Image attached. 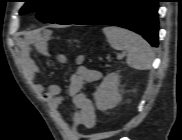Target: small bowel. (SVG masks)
Returning a JSON list of instances; mask_svg holds the SVG:
<instances>
[{"label": "small bowel", "instance_id": "small-bowel-1", "mask_svg": "<svg viewBox=\"0 0 182 140\" xmlns=\"http://www.w3.org/2000/svg\"><path fill=\"white\" fill-rule=\"evenodd\" d=\"M35 49L40 53H44V41L38 39L35 44ZM30 51L31 48L24 45L21 53V61L25 68L26 75L50 110L54 114H57L63 102V98L60 95V88L55 84L44 85L38 82L40 70L34 59L30 56ZM55 58L58 64L64 65L67 63V58L64 54H57ZM83 62L84 57L82 55H79L75 59L76 69L70 77L68 86V93L72 97L73 109L71 111V118L75 129L79 127L90 129L93 128L96 123L95 107L91 99L83 93L82 90L85 84L97 82L101 78V72L89 69L83 65Z\"/></svg>", "mask_w": 182, "mask_h": 140}]
</instances>
